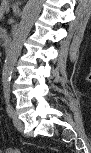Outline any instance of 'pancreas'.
<instances>
[{"label":"pancreas","mask_w":91,"mask_h":153,"mask_svg":"<svg viewBox=\"0 0 91 153\" xmlns=\"http://www.w3.org/2000/svg\"><path fill=\"white\" fill-rule=\"evenodd\" d=\"M8 10H9V6L8 5H6V4L2 5L1 13H4L5 11H8Z\"/></svg>","instance_id":"pancreas-1"}]
</instances>
